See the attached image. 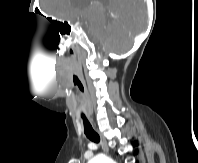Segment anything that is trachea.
I'll return each instance as SVG.
<instances>
[{
    "label": "trachea",
    "mask_w": 198,
    "mask_h": 163,
    "mask_svg": "<svg viewBox=\"0 0 198 163\" xmlns=\"http://www.w3.org/2000/svg\"><path fill=\"white\" fill-rule=\"evenodd\" d=\"M84 121V132L87 138L95 143L100 142L99 135L95 132V130L92 128L91 124L88 122V120L83 117Z\"/></svg>",
    "instance_id": "obj_1"
}]
</instances>
